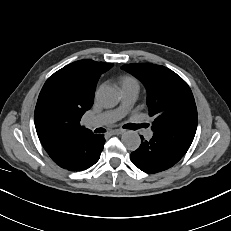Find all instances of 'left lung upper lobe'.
<instances>
[{"mask_svg":"<svg viewBox=\"0 0 231 231\" xmlns=\"http://www.w3.org/2000/svg\"><path fill=\"white\" fill-rule=\"evenodd\" d=\"M123 70L147 88L153 133L191 145L197 129V108L191 89L172 70L151 63L125 64Z\"/></svg>","mask_w":231,"mask_h":231,"instance_id":"5c2ea615","label":"left lung upper lobe"}]
</instances>
